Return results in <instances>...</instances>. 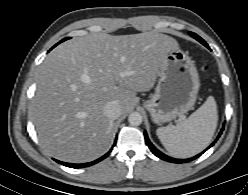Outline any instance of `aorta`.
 <instances>
[{
    "label": "aorta",
    "mask_w": 248,
    "mask_h": 195,
    "mask_svg": "<svg viewBox=\"0 0 248 195\" xmlns=\"http://www.w3.org/2000/svg\"><path fill=\"white\" fill-rule=\"evenodd\" d=\"M128 121L132 126H139L142 123V115L138 112H132L128 117Z\"/></svg>",
    "instance_id": "aorta-1"
}]
</instances>
